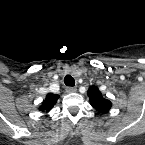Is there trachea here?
I'll list each match as a JSON object with an SVG mask.
<instances>
[{"mask_svg": "<svg viewBox=\"0 0 145 145\" xmlns=\"http://www.w3.org/2000/svg\"><path fill=\"white\" fill-rule=\"evenodd\" d=\"M64 83L67 86L73 87L75 85V80H74V78L72 76L67 75L64 78Z\"/></svg>", "mask_w": 145, "mask_h": 145, "instance_id": "3493384b", "label": "trachea"}]
</instances>
